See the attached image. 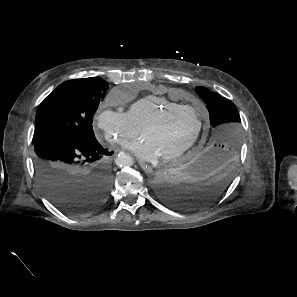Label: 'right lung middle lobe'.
<instances>
[{
    "instance_id": "dd1d6c3e",
    "label": "right lung middle lobe",
    "mask_w": 297,
    "mask_h": 297,
    "mask_svg": "<svg viewBox=\"0 0 297 297\" xmlns=\"http://www.w3.org/2000/svg\"><path fill=\"white\" fill-rule=\"evenodd\" d=\"M100 78L74 79L60 84L40 104L33 141L50 135H70L83 142L97 141L93 115L108 90Z\"/></svg>"
}]
</instances>
